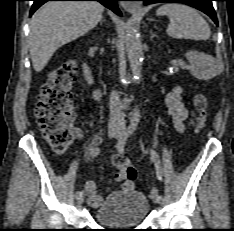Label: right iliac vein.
<instances>
[{
    "label": "right iliac vein",
    "instance_id": "1",
    "mask_svg": "<svg viewBox=\"0 0 234 231\" xmlns=\"http://www.w3.org/2000/svg\"><path fill=\"white\" fill-rule=\"evenodd\" d=\"M119 134H120V132H119V130L116 129V128H111V129H109V131H108V135H109L110 138H117V137L119 136ZM83 201H84V196H83V194H82V195H79V196L77 197V204H78V205H81V204L83 203Z\"/></svg>",
    "mask_w": 234,
    "mask_h": 231
}]
</instances>
